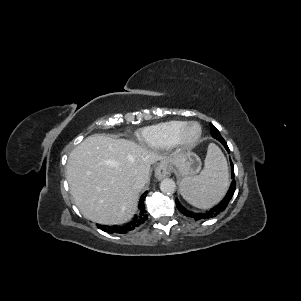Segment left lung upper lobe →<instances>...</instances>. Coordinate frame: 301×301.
<instances>
[{"mask_svg": "<svg viewBox=\"0 0 301 301\" xmlns=\"http://www.w3.org/2000/svg\"><path fill=\"white\" fill-rule=\"evenodd\" d=\"M210 131L211 132L214 131V132L219 133V131L216 129V127L212 123H210Z\"/></svg>", "mask_w": 301, "mask_h": 301, "instance_id": "obj_1", "label": "left lung upper lobe"}]
</instances>
